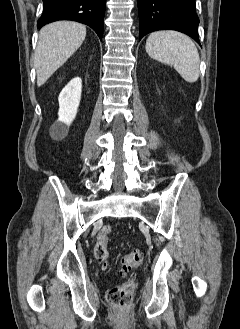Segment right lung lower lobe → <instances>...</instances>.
<instances>
[{
    "instance_id": "obj_1",
    "label": "right lung lower lobe",
    "mask_w": 240,
    "mask_h": 329,
    "mask_svg": "<svg viewBox=\"0 0 240 329\" xmlns=\"http://www.w3.org/2000/svg\"><path fill=\"white\" fill-rule=\"evenodd\" d=\"M43 3L38 28L58 20H72L90 26L102 39L106 0H43Z\"/></svg>"
}]
</instances>
